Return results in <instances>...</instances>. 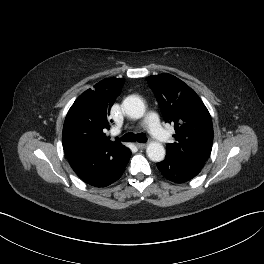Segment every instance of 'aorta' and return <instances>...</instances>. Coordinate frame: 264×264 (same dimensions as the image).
Wrapping results in <instances>:
<instances>
[{
	"label": "aorta",
	"instance_id": "aorta-1",
	"mask_svg": "<svg viewBox=\"0 0 264 264\" xmlns=\"http://www.w3.org/2000/svg\"><path fill=\"white\" fill-rule=\"evenodd\" d=\"M122 107L125 113L135 119L143 117L145 113L144 102L137 96L131 95L124 99ZM146 153L150 160L161 162L165 158V149L159 142L152 141L148 144Z\"/></svg>",
	"mask_w": 264,
	"mask_h": 264
}]
</instances>
